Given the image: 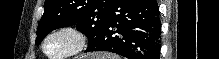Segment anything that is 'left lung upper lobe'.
Returning a JSON list of instances; mask_svg holds the SVG:
<instances>
[{
	"mask_svg": "<svg viewBox=\"0 0 219 59\" xmlns=\"http://www.w3.org/2000/svg\"><path fill=\"white\" fill-rule=\"evenodd\" d=\"M114 0H46L35 43L39 44L51 31L77 24L88 37L89 45L102 32Z\"/></svg>",
	"mask_w": 219,
	"mask_h": 59,
	"instance_id": "1",
	"label": "left lung upper lobe"
}]
</instances>
